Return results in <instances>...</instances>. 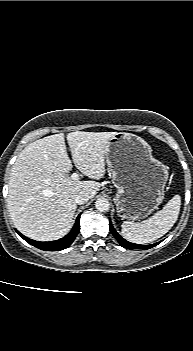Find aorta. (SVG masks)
Here are the masks:
<instances>
[{
	"label": "aorta",
	"instance_id": "762f6f07",
	"mask_svg": "<svg viewBox=\"0 0 193 351\" xmlns=\"http://www.w3.org/2000/svg\"><path fill=\"white\" fill-rule=\"evenodd\" d=\"M95 207L100 212H107L110 209L109 201L106 198H98Z\"/></svg>",
	"mask_w": 193,
	"mask_h": 351
}]
</instances>
